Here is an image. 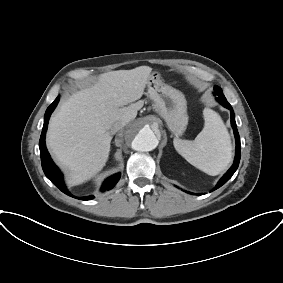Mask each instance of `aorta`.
Listing matches in <instances>:
<instances>
[{"mask_svg":"<svg viewBox=\"0 0 283 283\" xmlns=\"http://www.w3.org/2000/svg\"><path fill=\"white\" fill-rule=\"evenodd\" d=\"M128 139L131 146L136 151H152L158 145V139L148 125L137 124L130 128Z\"/></svg>","mask_w":283,"mask_h":283,"instance_id":"1","label":"aorta"}]
</instances>
